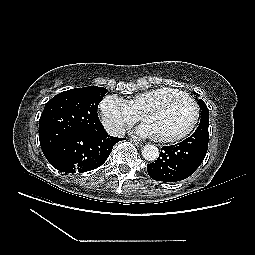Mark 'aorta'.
Returning <instances> with one entry per match:
<instances>
[{
	"label": "aorta",
	"instance_id": "762f6f07",
	"mask_svg": "<svg viewBox=\"0 0 255 255\" xmlns=\"http://www.w3.org/2000/svg\"><path fill=\"white\" fill-rule=\"evenodd\" d=\"M142 156L147 161H155L159 156V150L155 145L147 144L142 148Z\"/></svg>",
	"mask_w": 255,
	"mask_h": 255
}]
</instances>
